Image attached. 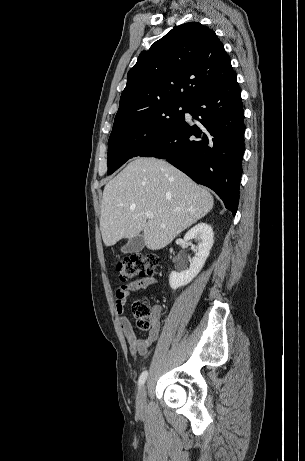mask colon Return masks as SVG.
I'll list each match as a JSON object with an SVG mask.
<instances>
[{"instance_id": "obj_1", "label": "colon", "mask_w": 305, "mask_h": 461, "mask_svg": "<svg viewBox=\"0 0 305 461\" xmlns=\"http://www.w3.org/2000/svg\"><path fill=\"white\" fill-rule=\"evenodd\" d=\"M159 266V258L156 255L133 254L116 264V270L122 281L134 278H150L154 276ZM132 313L137 319V325L141 330L151 327L152 310L146 300H137L132 303Z\"/></svg>"}]
</instances>
